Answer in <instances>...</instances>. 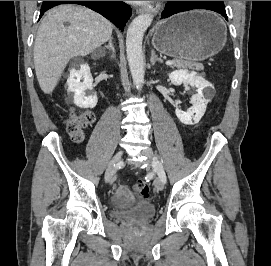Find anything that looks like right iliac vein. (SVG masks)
Wrapping results in <instances>:
<instances>
[{
  "label": "right iliac vein",
  "mask_w": 271,
  "mask_h": 266,
  "mask_svg": "<svg viewBox=\"0 0 271 266\" xmlns=\"http://www.w3.org/2000/svg\"><path fill=\"white\" fill-rule=\"evenodd\" d=\"M124 152L120 151L118 152L110 161L108 168L105 173V180L106 182H111L112 177L115 173V170L117 169L118 165L120 164L122 157H123Z\"/></svg>",
  "instance_id": "obj_1"
}]
</instances>
